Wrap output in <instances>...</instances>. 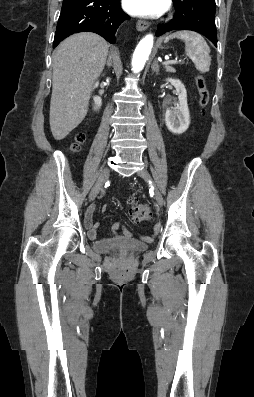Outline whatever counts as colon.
<instances>
[{
	"label": "colon",
	"mask_w": 254,
	"mask_h": 397,
	"mask_svg": "<svg viewBox=\"0 0 254 397\" xmlns=\"http://www.w3.org/2000/svg\"><path fill=\"white\" fill-rule=\"evenodd\" d=\"M196 86L199 93V104L201 108H205L209 102V91L205 80L202 76L196 77ZM85 141V135L82 132L75 134L71 143V150L77 152ZM130 212L135 221H147L153 218V212L150 206L139 204L129 199Z\"/></svg>",
	"instance_id": "1"
}]
</instances>
